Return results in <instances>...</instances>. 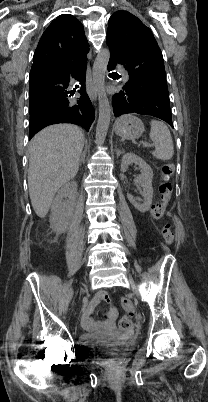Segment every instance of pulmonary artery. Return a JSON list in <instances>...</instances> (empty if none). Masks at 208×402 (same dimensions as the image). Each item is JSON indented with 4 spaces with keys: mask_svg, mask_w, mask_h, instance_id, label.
<instances>
[{
    "mask_svg": "<svg viewBox=\"0 0 208 402\" xmlns=\"http://www.w3.org/2000/svg\"><path fill=\"white\" fill-rule=\"evenodd\" d=\"M118 70H119L120 72H125V68H124L122 65H119V66H118Z\"/></svg>",
    "mask_w": 208,
    "mask_h": 402,
    "instance_id": "1",
    "label": "pulmonary artery"
}]
</instances>
